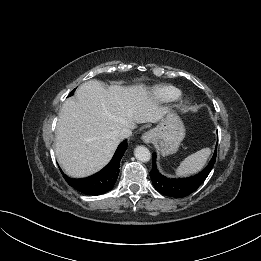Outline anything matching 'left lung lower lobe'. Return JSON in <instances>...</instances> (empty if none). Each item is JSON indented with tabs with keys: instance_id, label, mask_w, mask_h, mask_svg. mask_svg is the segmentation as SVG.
I'll return each instance as SVG.
<instances>
[{
	"instance_id": "obj_1",
	"label": "left lung lower lobe",
	"mask_w": 261,
	"mask_h": 261,
	"mask_svg": "<svg viewBox=\"0 0 261 261\" xmlns=\"http://www.w3.org/2000/svg\"><path fill=\"white\" fill-rule=\"evenodd\" d=\"M217 146L209 164L198 174L188 178L170 179L159 173L156 167V154L152 155V170L150 177L155 189L163 195L170 197L181 198L185 197L194 191L205 181L210 171L212 170L216 160Z\"/></svg>"
}]
</instances>
